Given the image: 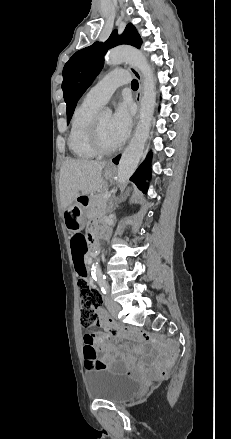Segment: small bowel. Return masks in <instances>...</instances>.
Wrapping results in <instances>:
<instances>
[{
    "label": "small bowel",
    "mask_w": 231,
    "mask_h": 439,
    "mask_svg": "<svg viewBox=\"0 0 231 439\" xmlns=\"http://www.w3.org/2000/svg\"><path fill=\"white\" fill-rule=\"evenodd\" d=\"M77 237L85 240V237H83L82 235H78ZM92 239L93 235L90 234L88 240L91 241ZM71 251L75 264L77 266H84V256L87 251V247L84 251L82 248V243H80L78 253L76 254L75 244L73 240H71ZM96 319L98 324L104 327L105 332H96L84 335L82 347L84 358L86 359V353L88 351H92L95 356L94 361H99L103 363L105 365L103 368H110L115 371L133 373L132 368L134 366V361L132 357L124 353H119V351L113 344V336L110 330L112 322L103 308H99L96 311ZM97 353L101 354L100 359H97ZM95 362L93 368H95Z\"/></svg>",
    "instance_id": "1"
}]
</instances>
